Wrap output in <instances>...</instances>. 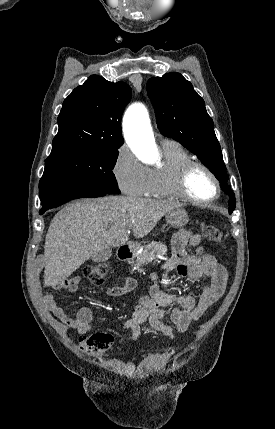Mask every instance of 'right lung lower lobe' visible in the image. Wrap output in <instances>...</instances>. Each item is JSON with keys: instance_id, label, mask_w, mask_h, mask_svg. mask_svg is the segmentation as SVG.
Masks as SVG:
<instances>
[{"instance_id": "obj_1", "label": "right lung lower lobe", "mask_w": 275, "mask_h": 429, "mask_svg": "<svg viewBox=\"0 0 275 429\" xmlns=\"http://www.w3.org/2000/svg\"><path fill=\"white\" fill-rule=\"evenodd\" d=\"M106 194L107 193L82 191V190H75V191H69V192L57 194L42 200L41 202L42 207L39 211V214L42 215L46 210L58 207L73 199L84 198V197H101V196H105Z\"/></svg>"}]
</instances>
